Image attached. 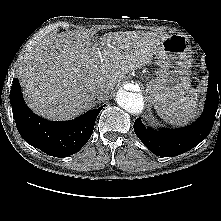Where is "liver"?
<instances>
[{
	"label": "liver",
	"instance_id": "6515ba94",
	"mask_svg": "<svg viewBox=\"0 0 221 221\" xmlns=\"http://www.w3.org/2000/svg\"><path fill=\"white\" fill-rule=\"evenodd\" d=\"M166 37L143 31L107 33L96 42L81 32L46 36L19 66L23 96L47 119L74 118L105 99L128 73L151 63ZM101 85L108 92L96 98Z\"/></svg>",
	"mask_w": 221,
	"mask_h": 221
}]
</instances>
